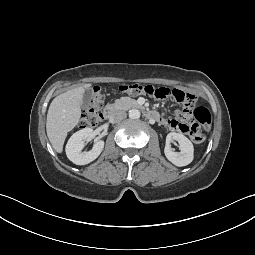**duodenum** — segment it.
Returning <instances> with one entry per match:
<instances>
[{
    "label": "duodenum",
    "instance_id": "duodenum-1",
    "mask_svg": "<svg viewBox=\"0 0 255 255\" xmlns=\"http://www.w3.org/2000/svg\"><path fill=\"white\" fill-rule=\"evenodd\" d=\"M138 106H139L138 104H135V107H138ZM116 113H117V108L115 106H112V105L107 106L103 112L104 119L111 120L115 117ZM145 115L150 120H157L159 118L158 113L152 110H146Z\"/></svg>",
    "mask_w": 255,
    "mask_h": 255
}]
</instances>
